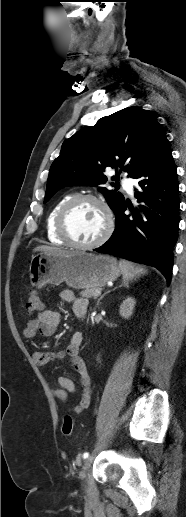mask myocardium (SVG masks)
<instances>
[{"mask_svg":"<svg viewBox=\"0 0 186 517\" xmlns=\"http://www.w3.org/2000/svg\"><path fill=\"white\" fill-rule=\"evenodd\" d=\"M85 201H91L100 206V208L103 210L106 218V226L103 231V233L100 235L99 238H97L95 241L91 243H79L76 240H74L68 230V219L73 211V209L81 202ZM56 227H57V233L58 235L71 247L82 249V250H92L97 247H100L103 245L112 235L114 231V218L113 214L107 205V203L93 195V194H79L73 196L71 199H69L61 208L59 211V214L57 216L56 220Z\"/></svg>","mask_w":186,"mask_h":517,"instance_id":"f54148a6","label":"myocardium"}]
</instances>
